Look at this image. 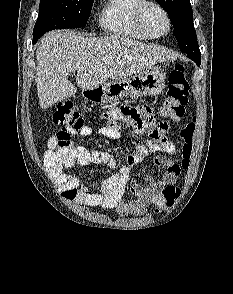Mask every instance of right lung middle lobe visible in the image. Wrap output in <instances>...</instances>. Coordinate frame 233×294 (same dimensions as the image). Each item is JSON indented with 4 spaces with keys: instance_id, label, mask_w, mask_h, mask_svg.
<instances>
[{
    "instance_id": "dd1d6c3e",
    "label": "right lung middle lobe",
    "mask_w": 233,
    "mask_h": 294,
    "mask_svg": "<svg viewBox=\"0 0 233 294\" xmlns=\"http://www.w3.org/2000/svg\"><path fill=\"white\" fill-rule=\"evenodd\" d=\"M94 0H41L33 39L47 31L86 26Z\"/></svg>"
}]
</instances>
